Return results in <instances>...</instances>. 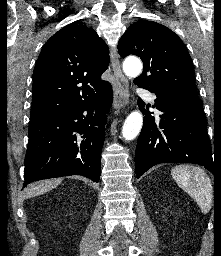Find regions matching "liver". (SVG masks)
Returning <instances> with one entry per match:
<instances>
[{
    "instance_id": "liver-1",
    "label": "liver",
    "mask_w": 221,
    "mask_h": 256,
    "mask_svg": "<svg viewBox=\"0 0 221 256\" xmlns=\"http://www.w3.org/2000/svg\"><path fill=\"white\" fill-rule=\"evenodd\" d=\"M62 179H51L39 183L31 184L25 189V197L31 198L45 193L60 184Z\"/></svg>"
}]
</instances>
